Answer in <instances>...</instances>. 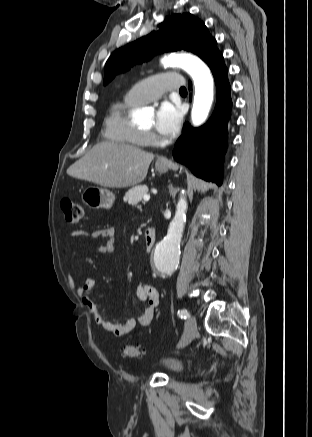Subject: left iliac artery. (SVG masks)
Listing matches in <instances>:
<instances>
[{"label":"left iliac artery","instance_id":"left-iliac-artery-1","mask_svg":"<svg viewBox=\"0 0 312 437\" xmlns=\"http://www.w3.org/2000/svg\"><path fill=\"white\" fill-rule=\"evenodd\" d=\"M178 316L183 319H187L189 317V312L186 309L178 310Z\"/></svg>","mask_w":312,"mask_h":437}]
</instances>
